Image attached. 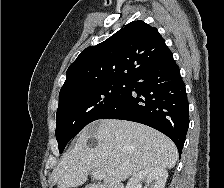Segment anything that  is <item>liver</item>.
Segmentation results:
<instances>
[{
    "instance_id": "liver-1",
    "label": "liver",
    "mask_w": 224,
    "mask_h": 188,
    "mask_svg": "<svg viewBox=\"0 0 224 188\" xmlns=\"http://www.w3.org/2000/svg\"><path fill=\"white\" fill-rule=\"evenodd\" d=\"M95 138L97 145L88 146ZM178 151L171 139L145 125L121 120H99L88 125L53 170L51 184L58 188L83 185L91 170H102L106 188H116L139 171L161 166L171 169Z\"/></svg>"
}]
</instances>
